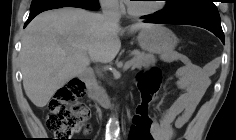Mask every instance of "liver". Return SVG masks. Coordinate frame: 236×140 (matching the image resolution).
Listing matches in <instances>:
<instances>
[{"label":"liver","mask_w":236,"mask_h":140,"mask_svg":"<svg viewBox=\"0 0 236 140\" xmlns=\"http://www.w3.org/2000/svg\"><path fill=\"white\" fill-rule=\"evenodd\" d=\"M152 26L136 23L130 33ZM118 23L100 13L65 7L45 11L26 27L22 37L20 66L26 95L44 107L55 92L84 73L90 60L111 62L121 48Z\"/></svg>","instance_id":"obj_1"}]
</instances>
